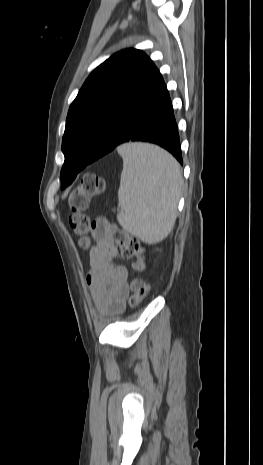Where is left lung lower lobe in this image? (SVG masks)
<instances>
[{
  "mask_svg": "<svg viewBox=\"0 0 263 465\" xmlns=\"http://www.w3.org/2000/svg\"><path fill=\"white\" fill-rule=\"evenodd\" d=\"M130 141L157 144L183 163L178 128L164 80L154 67L146 76L136 96L122 106L115 115L111 128L103 135L96 151L87 160L75 156L65 158L61 175L70 184L78 170ZM80 172V171H79Z\"/></svg>",
  "mask_w": 263,
  "mask_h": 465,
  "instance_id": "0a47b994",
  "label": "left lung lower lobe"
}]
</instances>
